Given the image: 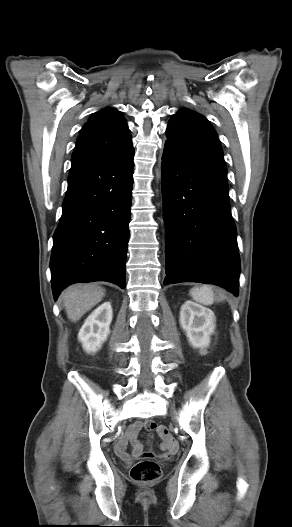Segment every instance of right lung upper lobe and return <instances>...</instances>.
Returning a JSON list of instances; mask_svg holds the SVG:
<instances>
[{"instance_id": "cb5924a9", "label": "right lung upper lobe", "mask_w": 292, "mask_h": 527, "mask_svg": "<svg viewBox=\"0 0 292 527\" xmlns=\"http://www.w3.org/2000/svg\"><path fill=\"white\" fill-rule=\"evenodd\" d=\"M132 147L126 120L119 111L107 107L92 115L83 126L72 159L111 156Z\"/></svg>"}]
</instances>
